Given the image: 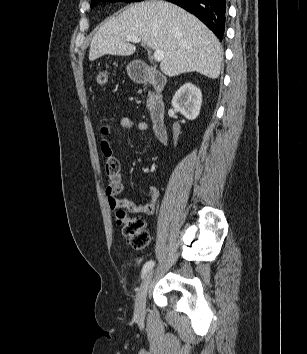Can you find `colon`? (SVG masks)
<instances>
[{"instance_id": "1", "label": "colon", "mask_w": 307, "mask_h": 354, "mask_svg": "<svg viewBox=\"0 0 307 354\" xmlns=\"http://www.w3.org/2000/svg\"><path fill=\"white\" fill-rule=\"evenodd\" d=\"M109 73L106 69L95 72V80L98 85L105 86L108 82ZM116 221L122 228V233L127 244L134 250L143 251L149 248L150 236L144 229L145 222L140 216H130V210L124 206H116Z\"/></svg>"}]
</instances>
